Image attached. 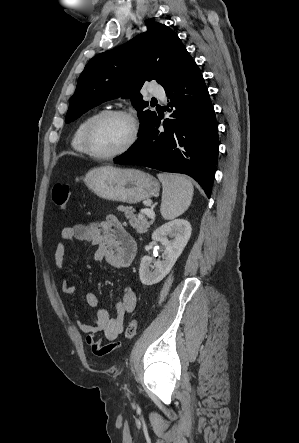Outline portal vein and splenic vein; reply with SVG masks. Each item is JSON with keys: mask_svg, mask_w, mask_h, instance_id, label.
<instances>
[{"mask_svg": "<svg viewBox=\"0 0 299 443\" xmlns=\"http://www.w3.org/2000/svg\"><path fill=\"white\" fill-rule=\"evenodd\" d=\"M144 212L152 221L155 219V213L152 210H146Z\"/></svg>", "mask_w": 299, "mask_h": 443, "instance_id": "1", "label": "portal vein and splenic vein"}]
</instances>
